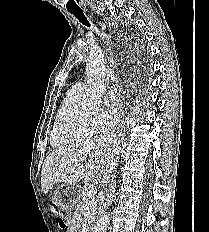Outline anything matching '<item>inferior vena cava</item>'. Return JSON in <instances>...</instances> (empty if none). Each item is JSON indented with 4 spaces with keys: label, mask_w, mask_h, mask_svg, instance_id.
<instances>
[{
    "label": "inferior vena cava",
    "mask_w": 209,
    "mask_h": 232,
    "mask_svg": "<svg viewBox=\"0 0 209 232\" xmlns=\"http://www.w3.org/2000/svg\"><path fill=\"white\" fill-rule=\"evenodd\" d=\"M105 139L108 142V147L109 150L111 152V154L116 158L118 155H120L121 153H118L117 149H116V145H117V140L116 137L114 135V133L111 131V129H109L106 133H105ZM115 163H111L107 166V168L105 169L102 178V184H103V188H105V185H107V183L110 180L109 174L112 173L113 169H114Z\"/></svg>",
    "instance_id": "602c4592"
}]
</instances>
